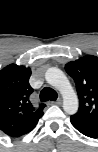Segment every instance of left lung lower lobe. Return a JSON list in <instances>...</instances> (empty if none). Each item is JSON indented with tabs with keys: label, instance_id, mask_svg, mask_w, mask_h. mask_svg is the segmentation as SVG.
Listing matches in <instances>:
<instances>
[{
	"label": "left lung lower lobe",
	"instance_id": "left-lung-lower-lobe-1",
	"mask_svg": "<svg viewBox=\"0 0 98 152\" xmlns=\"http://www.w3.org/2000/svg\"><path fill=\"white\" fill-rule=\"evenodd\" d=\"M70 121L71 124L82 134L91 138H98V126L75 121L73 119H70Z\"/></svg>",
	"mask_w": 98,
	"mask_h": 152
}]
</instances>
